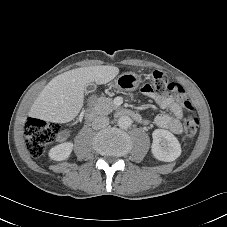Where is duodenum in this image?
<instances>
[{
	"mask_svg": "<svg viewBox=\"0 0 227 227\" xmlns=\"http://www.w3.org/2000/svg\"><path fill=\"white\" fill-rule=\"evenodd\" d=\"M93 101H94L93 99H91L89 101L88 108H87L86 113H85V117L88 120H92L95 117V111H94V108H93ZM115 115L118 116V117L128 116V117H131L138 122L143 121V119H142V117L139 113L132 111L130 109H127V108H123V107L117 108L115 110Z\"/></svg>",
	"mask_w": 227,
	"mask_h": 227,
	"instance_id": "obj_1",
	"label": "duodenum"
}]
</instances>
